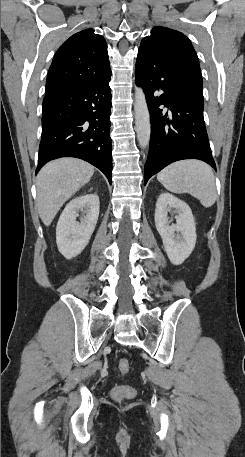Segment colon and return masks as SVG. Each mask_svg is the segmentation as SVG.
I'll return each mask as SVG.
<instances>
[{"label":"colon","mask_w":245,"mask_h":457,"mask_svg":"<svg viewBox=\"0 0 245 457\" xmlns=\"http://www.w3.org/2000/svg\"><path fill=\"white\" fill-rule=\"evenodd\" d=\"M118 369L121 375H126L129 372V362L127 359L122 358L118 362ZM134 394V389L129 386H116L112 389V398L116 401H122L127 397H131Z\"/></svg>","instance_id":"5ec220e1"}]
</instances>
